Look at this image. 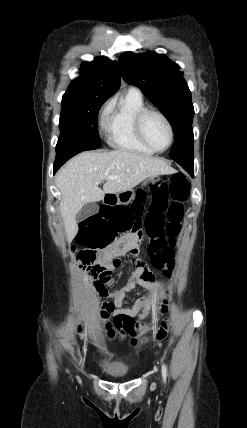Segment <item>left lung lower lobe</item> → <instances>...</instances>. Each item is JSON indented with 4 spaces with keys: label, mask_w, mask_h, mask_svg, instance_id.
Returning <instances> with one entry per match:
<instances>
[{
    "label": "left lung lower lobe",
    "mask_w": 247,
    "mask_h": 428,
    "mask_svg": "<svg viewBox=\"0 0 247 428\" xmlns=\"http://www.w3.org/2000/svg\"><path fill=\"white\" fill-rule=\"evenodd\" d=\"M180 166H182L192 177L194 176V159L179 160L175 159Z\"/></svg>",
    "instance_id": "left-lung-lower-lobe-1"
}]
</instances>
